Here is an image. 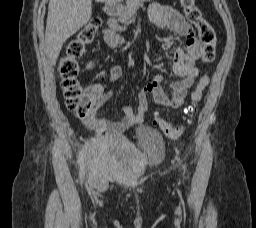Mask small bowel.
Returning <instances> with one entry per match:
<instances>
[{"label":"small bowel","instance_id":"obj_1","mask_svg":"<svg viewBox=\"0 0 256 228\" xmlns=\"http://www.w3.org/2000/svg\"><path fill=\"white\" fill-rule=\"evenodd\" d=\"M149 18L155 28L172 30L184 38V46L175 49L172 70L180 77L170 85L171 96H168L162 88V77L154 76L137 94V108L130 106L123 108L124 118L120 122H111L106 119L89 118L86 125L99 133H120L131 127L143 123L148 110V96L164 107L179 108L183 105L189 88L198 77L199 71L195 66L201 56L202 45L195 37L192 26L185 20L183 15L170 6L154 4L150 8ZM172 41L167 40L162 44L164 50L172 47ZM122 76V69L118 65H112L109 69L110 81H116ZM90 92L96 95L102 102H107L112 91H106L101 84H94Z\"/></svg>","mask_w":256,"mask_h":228}]
</instances>
